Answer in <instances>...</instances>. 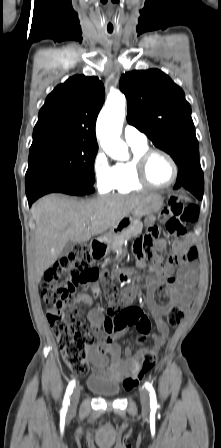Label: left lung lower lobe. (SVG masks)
Wrapping results in <instances>:
<instances>
[{
	"instance_id": "left-lung-lower-lobe-1",
	"label": "left lung lower lobe",
	"mask_w": 221,
	"mask_h": 448,
	"mask_svg": "<svg viewBox=\"0 0 221 448\" xmlns=\"http://www.w3.org/2000/svg\"><path fill=\"white\" fill-rule=\"evenodd\" d=\"M184 187L198 199L203 198L204 176L201 166H192L180 169L174 189Z\"/></svg>"
}]
</instances>
